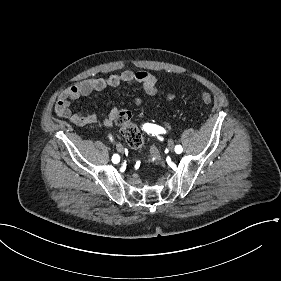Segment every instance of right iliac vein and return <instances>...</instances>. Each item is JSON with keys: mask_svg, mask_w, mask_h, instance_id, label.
Masks as SVG:
<instances>
[{"mask_svg": "<svg viewBox=\"0 0 281 281\" xmlns=\"http://www.w3.org/2000/svg\"><path fill=\"white\" fill-rule=\"evenodd\" d=\"M116 150L119 152V153H123V146L121 144H117L116 145Z\"/></svg>", "mask_w": 281, "mask_h": 281, "instance_id": "1", "label": "right iliac vein"}]
</instances>
